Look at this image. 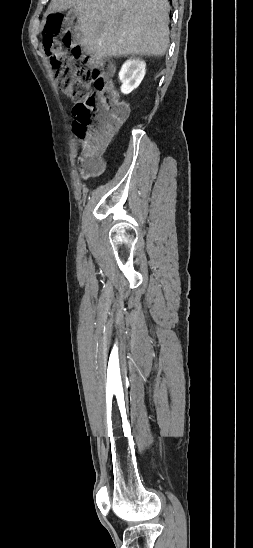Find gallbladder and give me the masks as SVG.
<instances>
[{
    "label": "gallbladder",
    "instance_id": "gallbladder-1",
    "mask_svg": "<svg viewBox=\"0 0 253 548\" xmlns=\"http://www.w3.org/2000/svg\"><path fill=\"white\" fill-rule=\"evenodd\" d=\"M67 17L70 19H74L76 17V12L73 8L68 11Z\"/></svg>",
    "mask_w": 253,
    "mask_h": 548
}]
</instances>
